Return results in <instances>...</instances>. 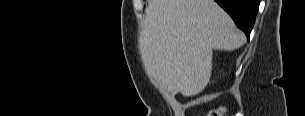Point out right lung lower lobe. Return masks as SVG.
Instances as JSON below:
<instances>
[{"label": "right lung lower lobe", "instance_id": "98d812e1", "mask_svg": "<svg viewBox=\"0 0 305 116\" xmlns=\"http://www.w3.org/2000/svg\"><path fill=\"white\" fill-rule=\"evenodd\" d=\"M234 20L249 39L260 0H215Z\"/></svg>", "mask_w": 305, "mask_h": 116}]
</instances>
